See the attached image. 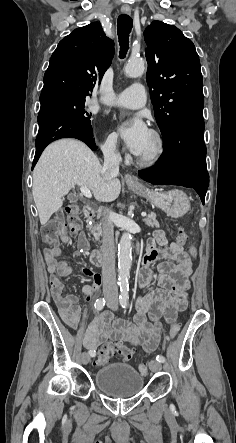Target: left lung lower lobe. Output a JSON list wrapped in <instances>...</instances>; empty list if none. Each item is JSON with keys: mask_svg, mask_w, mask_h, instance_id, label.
<instances>
[{"mask_svg": "<svg viewBox=\"0 0 236 443\" xmlns=\"http://www.w3.org/2000/svg\"><path fill=\"white\" fill-rule=\"evenodd\" d=\"M164 153L153 168L139 176L154 185L194 188L204 204L209 184L203 115L188 114L174 121L163 135Z\"/></svg>", "mask_w": 236, "mask_h": 443, "instance_id": "left-lung-lower-lobe-1", "label": "left lung lower lobe"}]
</instances>
